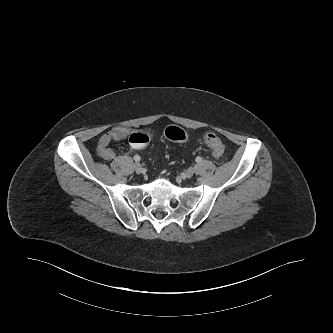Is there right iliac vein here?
<instances>
[{"instance_id": "right-iliac-vein-1", "label": "right iliac vein", "mask_w": 333, "mask_h": 333, "mask_svg": "<svg viewBox=\"0 0 333 333\" xmlns=\"http://www.w3.org/2000/svg\"><path fill=\"white\" fill-rule=\"evenodd\" d=\"M134 169H135L136 173H138V174L141 173L142 172L141 164L140 163H135Z\"/></svg>"}]
</instances>
